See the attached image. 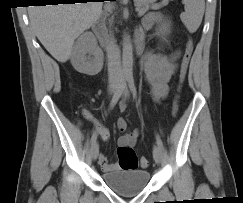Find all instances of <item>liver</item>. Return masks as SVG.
Returning a JSON list of instances; mask_svg holds the SVG:
<instances>
[{
    "instance_id": "liver-1",
    "label": "liver",
    "mask_w": 243,
    "mask_h": 203,
    "mask_svg": "<svg viewBox=\"0 0 243 203\" xmlns=\"http://www.w3.org/2000/svg\"><path fill=\"white\" fill-rule=\"evenodd\" d=\"M103 2L30 6L31 26L45 49L59 62H66L74 40L101 16Z\"/></svg>"
}]
</instances>
